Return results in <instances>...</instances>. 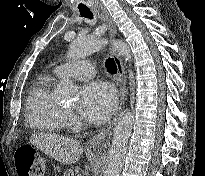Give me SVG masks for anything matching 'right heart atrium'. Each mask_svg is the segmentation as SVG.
Wrapping results in <instances>:
<instances>
[{
	"label": "right heart atrium",
	"mask_w": 205,
	"mask_h": 176,
	"mask_svg": "<svg viewBox=\"0 0 205 176\" xmlns=\"http://www.w3.org/2000/svg\"><path fill=\"white\" fill-rule=\"evenodd\" d=\"M65 119L68 123H73V122L77 121V117L71 111H66L65 112Z\"/></svg>",
	"instance_id": "1"
}]
</instances>
